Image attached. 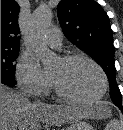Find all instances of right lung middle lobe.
<instances>
[{"instance_id":"dd1d6c3e","label":"right lung middle lobe","mask_w":123,"mask_h":130,"mask_svg":"<svg viewBox=\"0 0 123 130\" xmlns=\"http://www.w3.org/2000/svg\"><path fill=\"white\" fill-rule=\"evenodd\" d=\"M19 49H4L1 48V79L16 83L14 79L13 62L18 56Z\"/></svg>"}]
</instances>
